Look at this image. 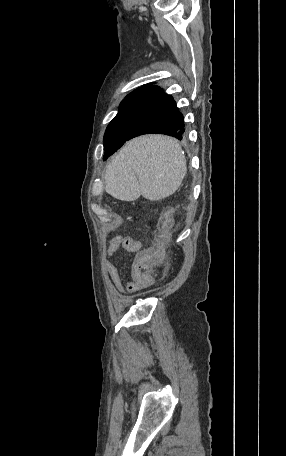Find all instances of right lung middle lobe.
<instances>
[{"instance_id":"dd1d6c3e","label":"right lung middle lobe","mask_w":286,"mask_h":456,"mask_svg":"<svg viewBox=\"0 0 286 456\" xmlns=\"http://www.w3.org/2000/svg\"><path fill=\"white\" fill-rule=\"evenodd\" d=\"M129 132L126 127L124 117H123V102L120 104V111L116 117L108 125L105 135H104V160H106L110 155H112L117 149H119L126 138L128 137Z\"/></svg>"}]
</instances>
